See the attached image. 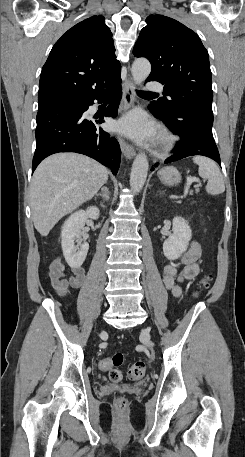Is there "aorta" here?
<instances>
[{
  "instance_id": "762f6f07",
  "label": "aorta",
  "mask_w": 245,
  "mask_h": 457,
  "mask_svg": "<svg viewBox=\"0 0 245 457\" xmlns=\"http://www.w3.org/2000/svg\"><path fill=\"white\" fill-rule=\"evenodd\" d=\"M151 72V64L147 59H136L132 65L131 73L134 82L139 85L149 76ZM149 163L144 153H139L132 165L130 174V187L134 193H138L143 188Z\"/></svg>"
}]
</instances>
